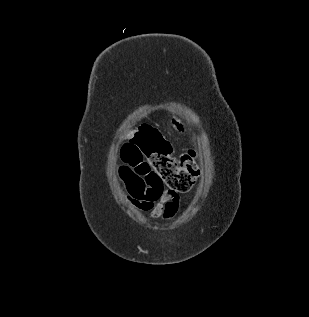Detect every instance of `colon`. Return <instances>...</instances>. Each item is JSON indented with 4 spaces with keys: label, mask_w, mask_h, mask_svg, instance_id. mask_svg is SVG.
Listing matches in <instances>:
<instances>
[{
    "label": "colon",
    "mask_w": 309,
    "mask_h": 317,
    "mask_svg": "<svg viewBox=\"0 0 309 317\" xmlns=\"http://www.w3.org/2000/svg\"><path fill=\"white\" fill-rule=\"evenodd\" d=\"M122 154L132 164L146 158L162 185L174 192H188L200 174L192 150L175 158L171 144L158 129L147 124L130 132L129 141L124 145Z\"/></svg>",
    "instance_id": "5ec220e1"
}]
</instances>
